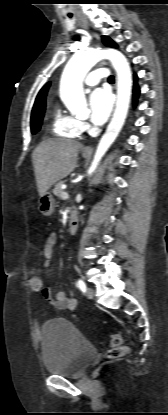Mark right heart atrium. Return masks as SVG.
<instances>
[{"label":"right heart atrium","mask_w":168,"mask_h":415,"mask_svg":"<svg viewBox=\"0 0 168 415\" xmlns=\"http://www.w3.org/2000/svg\"><path fill=\"white\" fill-rule=\"evenodd\" d=\"M81 131H84L88 128V125L85 122H80Z\"/></svg>","instance_id":"1"}]
</instances>
